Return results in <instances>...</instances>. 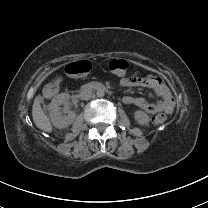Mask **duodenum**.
Instances as JSON below:
<instances>
[{"label": "duodenum", "instance_id": "obj_1", "mask_svg": "<svg viewBox=\"0 0 208 208\" xmlns=\"http://www.w3.org/2000/svg\"><path fill=\"white\" fill-rule=\"evenodd\" d=\"M83 90H101V91H108V89L101 83L98 82H91L87 83L83 86Z\"/></svg>", "mask_w": 208, "mask_h": 208}]
</instances>
